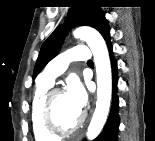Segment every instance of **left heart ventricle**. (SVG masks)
Returning <instances> with one entry per match:
<instances>
[{"label": "left heart ventricle", "instance_id": "obj_1", "mask_svg": "<svg viewBox=\"0 0 155 141\" xmlns=\"http://www.w3.org/2000/svg\"><path fill=\"white\" fill-rule=\"evenodd\" d=\"M80 114L72 107L65 93L59 94L53 101V117L62 128H71L79 120Z\"/></svg>", "mask_w": 155, "mask_h": 141}]
</instances>
